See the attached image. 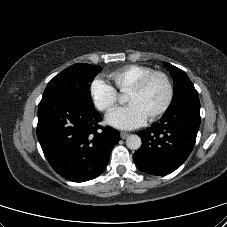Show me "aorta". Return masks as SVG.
<instances>
[{
    "label": "aorta",
    "mask_w": 227,
    "mask_h": 227,
    "mask_svg": "<svg viewBox=\"0 0 227 227\" xmlns=\"http://www.w3.org/2000/svg\"><path fill=\"white\" fill-rule=\"evenodd\" d=\"M142 141L138 135H129L126 139V145L131 150H138L141 147Z\"/></svg>",
    "instance_id": "762f6f07"
}]
</instances>
